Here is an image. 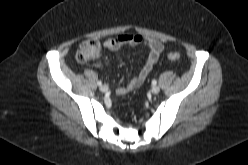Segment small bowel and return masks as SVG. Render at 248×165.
<instances>
[{
	"label": "small bowel",
	"mask_w": 248,
	"mask_h": 165,
	"mask_svg": "<svg viewBox=\"0 0 248 165\" xmlns=\"http://www.w3.org/2000/svg\"><path fill=\"white\" fill-rule=\"evenodd\" d=\"M125 45H144L149 50V55L140 72L131 80L120 84L117 88L118 94H125L140 87L150 74L153 66L157 63L163 50V46L158 40L150 37H143L138 34H121L103 42L105 48L116 52Z\"/></svg>",
	"instance_id": "c3829d8e"
}]
</instances>
